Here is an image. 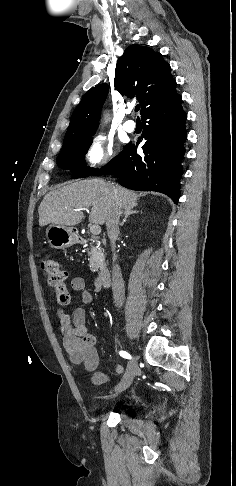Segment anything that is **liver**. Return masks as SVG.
I'll use <instances>...</instances> for the list:
<instances>
[{
  "mask_svg": "<svg viewBox=\"0 0 236 486\" xmlns=\"http://www.w3.org/2000/svg\"><path fill=\"white\" fill-rule=\"evenodd\" d=\"M110 185L102 179L93 178L50 191L44 196L38 209L39 225H77L84 217L83 208L89 206H92L89 222L102 225L107 222L114 202L121 209L137 205L140 194L121 186H114L113 191Z\"/></svg>",
  "mask_w": 236,
  "mask_h": 486,
  "instance_id": "1",
  "label": "liver"
}]
</instances>
